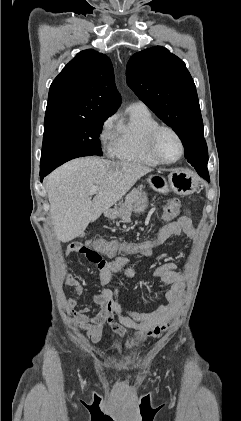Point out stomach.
I'll use <instances>...</instances> for the list:
<instances>
[{
	"mask_svg": "<svg viewBox=\"0 0 241 421\" xmlns=\"http://www.w3.org/2000/svg\"><path fill=\"white\" fill-rule=\"evenodd\" d=\"M151 187L162 194L173 191L179 195H189L198 188L196 176L187 170H172L167 177L156 174L148 178ZM148 205V199L145 193L139 197L134 203L133 210L135 213H142ZM122 214V208L109 210L106 212L107 217L115 219Z\"/></svg>",
	"mask_w": 241,
	"mask_h": 421,
	"instance_id": "1",
	"label": "stomach"
}]
</instances>
